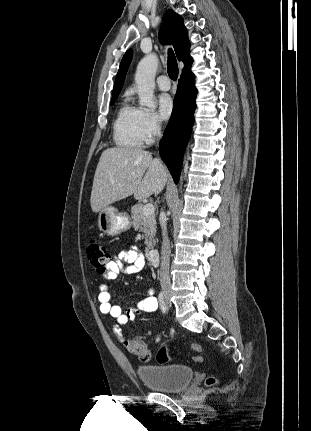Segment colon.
<instances>
[{"label": "colon", "instance_id": "1", "mask_svg": "<svg viewBox=\"0 0 311 431\" xmlns=\"http://www.w3.org/2000/svg\"><path fill=\"white\" fill-rule=\"evenodd\" d=\"M87 257L99 274L104 275L106 272L107 263L110 260V253L105 246L97 242H91L87 247ZM126 349L133 355H136L140 359L146 361L151 358L150 349L142 336H136L134 338L128 339L125 342ZM190 348L196 352H202L203 347L199 344H191ZM168 343H164L157 354V360L161 363L166 362L169 358L168 355ZM193 361L200 363L203 361L202 356L196 355L193 357ZM215 383V379L210 377L207 379V385H212Z\"/></svg>", "mask_w": 311, "mask_h": 431}]
</instances>
